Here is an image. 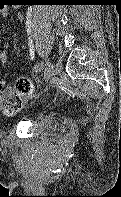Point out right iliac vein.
I'll return each mask as SVG.
<instances>
[{"label": "right iliac vein", "instance_id": "1", "mask_svg": "<svg viewBox=\"0 0 121 197\" xmlns=\"http://www.w3.org/2000/svg\"><path fill=\"white\" fill-rule=\"evenodd\" d=\"M53 72V66L49 60L45 63V69H44V81H48L50 77L52 76Z\"/></svg>", "mask_w": 121, "mask_h": 197}]
</instances>
